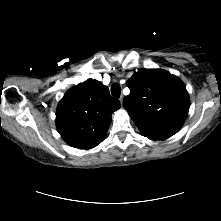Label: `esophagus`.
Returning <instances> with one entry per match:
<instances>
[{"label": "esophagus", "mask_w": 221, "mask_h": 221, "mask_svg": "<svg viewBox=\"0 0 221 221\" xmlns=\"http://www.w3.org/2000/svg\"><path fill=\"white\" fill-rule=\"evenodd\" d=\"M119 100H120V103L122 105V103H123V95L120 96Z\"/></svg>", "instance_id": "esophagus-1"}]
</instances>
